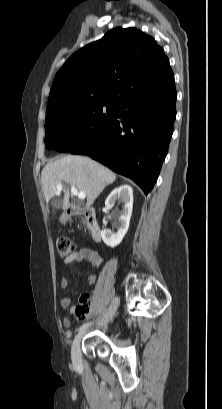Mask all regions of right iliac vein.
I'll list each match as a JSON object with an SVG mask.
<instances>
[{"instance_id": "1", "label": "right iliac vein", "mask_w": 222, "mask_h": 409, "mask_svg": "<svg viewBox=\"0 0 222 409\" xmlns=\"http://www.w3.org/2000/svg\"><path fill=\"white\" fill-rule=\"evenodd\" d=\"M119 304H120L119 298H118V297H115V298L112 300V302H111V304H110V306H109V308H108L106 314L104 315V317H103L102 320L100 321L99 325H102V326H103V325H106V324L109 323V321H110V320L113 318V316L115 315V313H116V311H117V309H118V307H119ZM85 333H86L85 330L80 331V332L76 335V337H75V339H74V341H73V343H72V347H71V357H72V360H73L74 362H78L79 359H80V343H81V340H82L83 336L85 335Z\"/></svg>"}]
</instances>
